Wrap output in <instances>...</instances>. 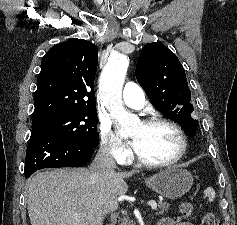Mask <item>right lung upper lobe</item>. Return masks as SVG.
<instances>
[{"label": "right lung upper lobe", "mask_w": 237, "mask_h": 225, "mask_svg": "<svg viewBox=\"0 0 237 225\" xmlns=\"http://www.w3.org/2000/svg\"><path fill=\"white\" fill-rule=\"evenodd\" d=\"M97 47L83 39H70L52 47L43 57L34 96L33 121L96 109L94 78Z\"/></svg>", "instance_id": "obj_1"}]
</instances>
